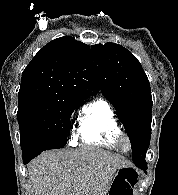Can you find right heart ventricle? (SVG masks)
Segmentation results:
<instances>
[{
	"mask_svg": "<svg viewBox=\"0 0 178 195\" xmlns=\"http://www.w3.org/2000/svg\"><path fill=\"white\" fill-rule=\"evenodd\" d=\"M120 131L116 114L106 100L98 98L86 105L78 126L82 143L119 150L116 135Z\"/></svg>",
	"mask_w": 178,
	"mask_h": 195,
	"instance_id": "obj_1",
	"label": "right heart ventricle"
}]
</instances>
